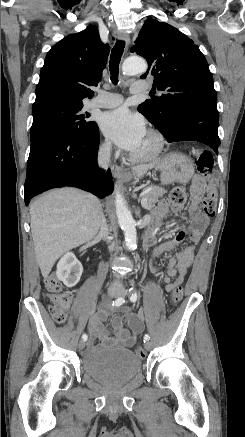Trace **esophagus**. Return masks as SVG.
Here are the masks:
<instances>
[{
  "label": "esophagus",
  "instance_id": "34e87169",
  "mask_svg": "<svg viewBox=\"0 0 245 437\" xmlns=\"http://www.w3.org/2000/svg\"><path fill=\"white\" fill-rule=\"evenodd\" d=\"M115 37L118 38L119 40L124 41L126 43V46H128L130 38H129V35L127 33L118 31L115 33ZM111 171L115 177H121L124 175L122 168L116 164H113L111 166Z\"/></svg>",
  "mask_w": 245,
  "mask_h": 437
}]
</instances>
